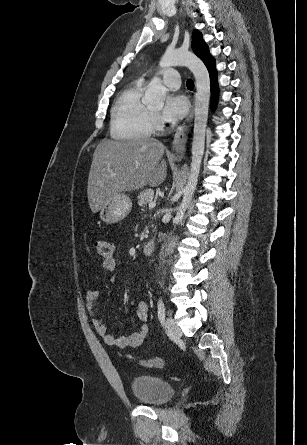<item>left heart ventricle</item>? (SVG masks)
<instances>
[{
    "instance_id": "left-heart-ventricle-1",
    "label": "left heart ventricle",
    "mask_w": 307,
    "mask_h": 445,
    "mask_svg": "<svg viewBox=\"0 0 307 445\" xmlns=\"http://www.w3.org/2000/svg\"><path fill=\"white\" fill-rule=\"evenodd\" d=\"M162 104H163V102H158V103L156 104V106L152 107V110H153L154 112L158 113L159 110H160V108H161V106H162Z\"/></svg>"
}]
</instances>
